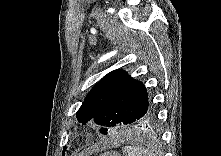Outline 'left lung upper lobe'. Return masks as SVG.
I'll return each mask as SVG.
<instances>
[{
	"mask_svg": "<svg viewBox=\"0 0 221 156\" xmlns=\"http://www.w3.org/2000/svg\"><path fill=\"white\" fill-rule=\"evenodd\" d=\"M150 112H153V107L145 86L118 69L105 75L92 88L76 117L82 124L93 119L103 126L100 132L107 134L108 128L134 124Z\"/></svg>",
	"mask_w": 221,
	"mask_h": 156,
	"instance_id": "5c2ea615",
	"label": "left lung upper lobe"
}]
</instances>
